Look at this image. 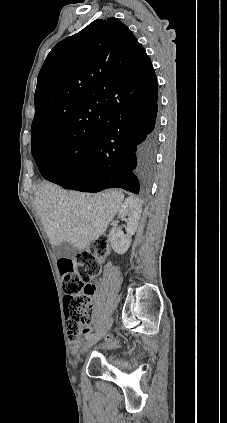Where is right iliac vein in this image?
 I'll use <instances>...</instances> for the list:
<instances>
[{"instance_id":"63e3f726","label":"right iliac vein","mask_w":227,"mask_h":423,"mask_svg":"<svg viewBox=\"0 0 227 423\" xmlns=\"http://www.w3.org/2000/svg\"><path fill=\"white\" fill-rule=\"evenodd\" d=\"M112 320L108 319L100 333L92 337L91 339H88V341L85 343L84 351H87L92 345L97 343L100 339H102L108 332L109 328L111 327Z\"/></svg>"}]
</instances>
